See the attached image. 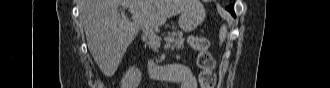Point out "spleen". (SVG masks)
Masks as SVG:
<instances>
[{
	"instance_id": "spleen-1",
	"label": "spleen",
	"mask_w": 330,
	"mask_h": 88,
	"mask_svg": "<svg viewBox=\"0 0 330 88\" xmlns=\"http://www.w3.org/2000/svg\"><path fill=\"white\" fill-rule=\"evenodd\" d=\"M226 36H227V26L222 25L219 31L220 45L225 41Z\"/></svg>"
}]
</instances>
